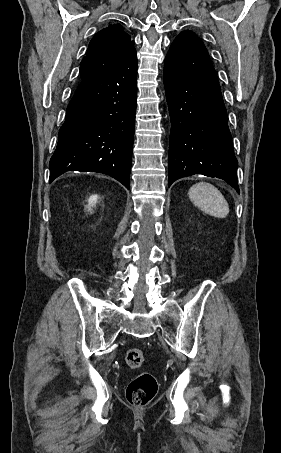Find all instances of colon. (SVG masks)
<instances>
[{
    "instance_id": "1",
    "label": "colon",
    "mask_w": 281,
    "mask_h": 453,
    "mask_svg": "<svg viewBox=\"0 0 281 453\" xmlns=\"http://www.w3.org/2000/svg\"><path fill=\"white\" fill-rule=\"evenodd\" d=\"M123 361L132 369H140L145 365L144 354L138 349H131L125 352ZM157 390L158 382L153 374H135L127 387L126 399L134 406H144L155 397Z\"/></svg>"
}]
</instances>
